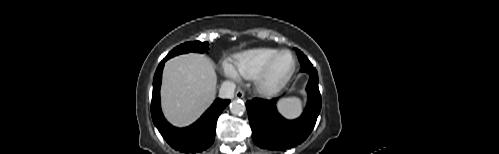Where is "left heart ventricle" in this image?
I'll list each match as a JSON object with an SVG mask.
<instances>
[{
    "mask_svg": "<svg viewBox=\"0 0 499 154\" xmlns=\"http://www.w3.org/2000/svg\"><path fill=\"white\" fill-rule=\"evenodd\" d=\"M289 65L290 60L288 56L283 55L279 57L273 66L272 75L276 77L283 74L288 69Z\"/></svg>",
    "mask_w": 499,
    "mask_h": 154,
    "instance_id": "obj_1",
    "label": "left heart ventricle"
}]
</instances>
